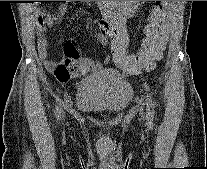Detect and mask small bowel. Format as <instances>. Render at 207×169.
Here are the masks:
<instances>
[{"mask_svg": "<svg viewBox=\"0 0 207 169\" xmlns=\"http://www.w3.org/2000/svg\"><path fill=\"white\" fill-rule=\"evenodd\" d=\"M62 2V5L56 13H50L44 10L36 12L37 47L39 56L46 69L53 73L58 81L67 82L71 79L98 71L103 67V64L101 62H94L90 59L80 57L72 38L67 40L64 47V55L60 62H57L50 57L46 31L48 28L58 23L66 14V4L74 1ZM141 2L142 1H128L124 6H118L114 1H100V8L104 16V19L100 23V31L111 32L114 34L111 44H115L120 40H126L128 42V37L125 31V21L135 15L137 7ZM101 40L103 43L107 42L103 39ZM108 60L115 64L113 56L109 57ZM152 69L153 68H148L146 70L150 71Z\"/></svg>", "mask_w": 207, "mask_h": 169, "instance_id": "small-bowel-1", "label": "small bowel"}]
</instances>
